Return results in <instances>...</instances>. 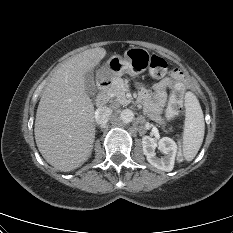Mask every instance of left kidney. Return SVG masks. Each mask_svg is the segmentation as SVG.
<instances>
[{"label":"left kidney","mask_w":233,"mask_h":233,"mask_svg":"<svg viewBox=\"0 0 233 233\" xmlns=\"http://www.w3.org/2000/svg\"><path fill=\"white\" fill-rule=\"evenodd\" d=\"M157 146L164 156H156L155 147ZM142 147L147 161L152 166L166 172L173 169L177 153V145L171 138L163 137L160 140H156L149 136H144L142 138Z\"/></svg>","instance_id":"1"}]
</instances>
